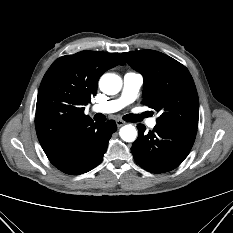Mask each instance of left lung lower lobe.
Segmentation results:
<instances>
[{
    "instance_id": "left-lung-lower-lobe-1",
    "label": "left lung lower lobe",
    "mask_w": 233,
    "mask_h": 233,
    "mask_svg": "<svg viewBox=\"0 0 233 233\" xmlns=\"http://www.w3.org/2000/svg\"><path fill=\"white\" fill-rule=\"evenodd\" d=\"M139 135L131 151L135 161L152 173H163L178 167L189 154L196 129L155 125L145 132V126L137 125Z\"/></svg>"
}]
</instances>
